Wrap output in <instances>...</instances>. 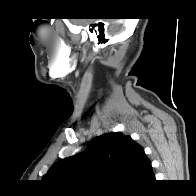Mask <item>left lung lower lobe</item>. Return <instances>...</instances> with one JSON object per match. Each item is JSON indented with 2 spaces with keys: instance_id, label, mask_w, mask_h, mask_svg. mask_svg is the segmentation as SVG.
Segmentation results:
<instances>
[{
  "instance_id": "0a47b994",
  "label": "left lung lower lobe",
  "mask_w": 196,
  "mask_h": 196,
  "mask_svg": "<svg viewBox=\"0 0 196 196\" xmlns=\"http://www.w3.org/2000/svg\"><path fill=\"white\" fill-rule=\"evenodd\" d=\"M154 180H155V176L152 171L151 162H148L136 184L142 185V184L152 183L154 182Z\"/></svg>"
}]
</instances>
